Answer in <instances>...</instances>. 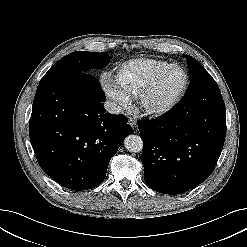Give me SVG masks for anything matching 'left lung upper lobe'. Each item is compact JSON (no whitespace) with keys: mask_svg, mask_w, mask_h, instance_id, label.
Masks as SVG:
<instances>
[{"mask_svg":"<svg viewBox=\"0 0 247 247\" xmlns=\"http://www.w3.org/2000/svg\"><path fill=\"white\" fill-rule=\"evenodd\" d=\"M184 57L187 61L190 83L196 80H200L203 77L211 76L196 59L187 54H184ZM190 83L183 97L185 99H192L195 97Z\"/></svg>","mask_w":247,"mask_h":247,"instance_id":"5c2ea615","label":"left lung upper lobe"}]
</instances>
